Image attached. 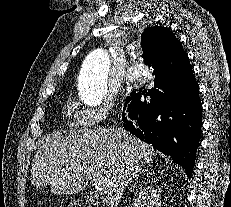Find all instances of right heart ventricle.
Listing matches in <instances>:
<instances>
[{"instance_id":"1","label":"right heart ventricle","mask_w":231,"mask_h":207,"mask_svg":"<svg viewBox=\"0 0 231 207\" xmlns=\"http://www.w3.org/2000/svg\"><path fill=\"white\" fill-rule=\"evenodd\" d=\"M66 113H67L68 116L71 114L70 108L67 109V112H66Z\"/></svg>"}]
</instances>
